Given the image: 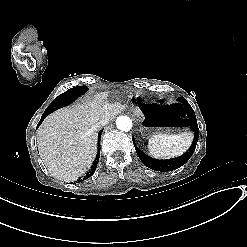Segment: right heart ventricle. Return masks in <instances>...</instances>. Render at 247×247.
Listing matches in <instances>:
<instances>
[{
	"label": "right heart ventricle",
	"instance_id": "e07e8e85",
	"mask_svg": "<svg viewBox=\"0 0 247 247\" xmlns=\"http://www.w3.org/2000/svg\"><path fill=\"white\" fill-rule=\"evenodd\" d=\"M150 151L153 153V149H152V147H150Z\"/></svg>",
	"mask_w": 247,
	"mask_h": 247
}]
</instances>
